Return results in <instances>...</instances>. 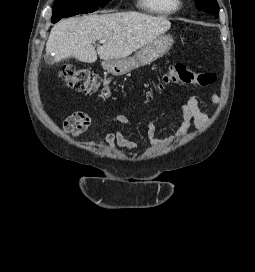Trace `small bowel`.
<instances>
[{
	"label": "small bowel",
	"mask_w": 255,
	"mask_h": 272,
	"mask_svg": "<svg viewBox=\"0 0 255 272\" xmlns=\"http://www.w3.org/2000/svg\"><path fill=\"white\" fill-rule=\"evenodd\" d=\"M219 95L214 93L212 95V101L214 103L219 102ZM181 111L183 115V122L180 129L171 139H177L181 137L190 127L195 126L201 128L207 121L208 117L199 108V101L195 95H190L181 104ZM114 123L120 124L123 128L129 126V119L122 114H117L112 117ZM91 118L85 112H75L68 116L62 125L63 131L66 134L72 135L73 137H79L83 134L90 126ZM156 127L153 121L147 123V128L144 138L150 141L152 145L159 146L162 141L155 137ZM104 143L108 144L111 148L116 149L123 147L127 149H137L138 144L135 140L125 135L124 129H120L115 133L107 132L104 136Z\"/></svg>",
	"instance_id": "c3829d8e"
}]
</instances>
